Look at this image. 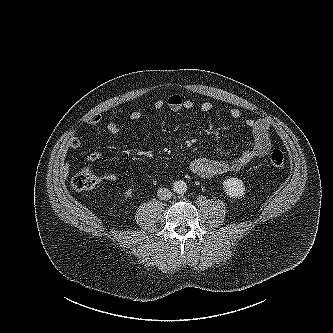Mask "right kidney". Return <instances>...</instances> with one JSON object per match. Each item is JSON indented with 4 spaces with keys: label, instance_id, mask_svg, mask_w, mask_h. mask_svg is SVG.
Segmentation results:
<instances>
[{
    "label": "right kidney",
    "instance_id": "1",
    "mask_svg": "<svg viewBox=\"0 0 333 333\" xmlns=\"http://www.w3.org/2000/svg\"><path fill=\"white\" fill-rule=\"evenodd\" d=\"M133 195V189H128V190H126L125 192H124V196H125V198H129V197H131Z\"/></svg>",
    "mask_w": 333,
    "mask_h": 333
}]
</instances>
